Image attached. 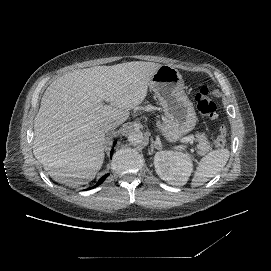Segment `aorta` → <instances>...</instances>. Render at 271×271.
Returning a JSON list of instances; mask_svg holds the SVG:
<instances>
[{
  "mask_svg": "<svg viewBox=\"0 0 271 271\" xmlns=\"http://www.w3.org/2000/svg\"><path fill=\"white\" fill-rule=\"evenodd\" d=\"M144 136L143 133L138 130V131H132L129 133L128 135V141L131 145H138L141 144L143 142Z\"/></svg>",
  "mask_w": 271,
  "mask_h": 271,
  "instance_id": "762f6f07",
  "label": "aorta"
}]
</instances>
